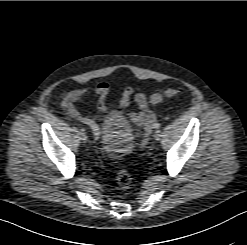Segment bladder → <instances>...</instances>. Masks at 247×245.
<instances>
[{
  "mask_svg": "<svg viewBox=\"0 0 247 245\" xmlns=\"http://www.w3.org/2000/svg\"><path fill=\"white\" fill-rule=\"evenodd\" d=\"M122 117L121 111L110 110L100 123L98 133L100 150L112 158L125 157L134 147L135 138Z\"/></svg>",
  "mask_w": 247,
  "mask_h": 245,
  "instance_id": "bladder-1",
  "label": "bladder"
}]
</instances>
